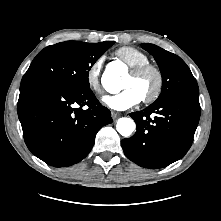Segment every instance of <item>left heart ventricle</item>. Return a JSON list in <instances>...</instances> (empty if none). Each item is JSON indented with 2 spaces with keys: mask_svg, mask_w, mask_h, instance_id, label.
I'll return each mask as SVG.
<instances>
[{
  "mask_svg": "<svg viewBox=\"0 0 221 221\" xmlns=\"http://www.w3.org/2000/svg\"><path fill=\"white\" fill-rule=\"evenodd\" d=\"M154 85H155V76L151 72H148L139 77H135L130 73H128L122 81L123 89L127 87H133L138 91V93L142 98L153 90Z\"/></svg>",
  "mask_w": 221,
  "mask_h": 221,
  "instance_id": "1",
  "label": "left heart ventricle"
}]
</instances>
